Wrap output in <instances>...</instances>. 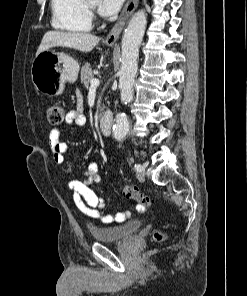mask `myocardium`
I'll return each mask as SVG.
<instances>
[{"mask_svg": "<svg viewBox=\"0 0 247 296\" xmlns=\"http://www.w3.org/2000/svg\"><path fill=\"white\" fill-rule=\"evenodd\" d=\"M85 4H86V7L87 9L89 10V12H93L95 7L92 6L90 3H89V0H85Z\"/></svg>", "mask_w": 247, "mask_h": 296, "instance_id": "obj_1", "label": "myocardium"}]
</instances>
